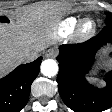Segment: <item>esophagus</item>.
<instances>
[{
    "instance_id": "obj_1",
    "label": "esophagus",
    "mask_w": 112,
    "mask_h": 112,
    "mask_svg": "<svg viewBox=\"0 0 112 112\" xmlns=\"http://www.w3.org/2000/svg\"><path fill=\"white\" fill-rule=\"evenodd\" d=\"M56 54H57L56 50L50 49V50H48V51L45 53V57H47V58H53V57L56 56Z\"/></svg>"
}]
</instances>
